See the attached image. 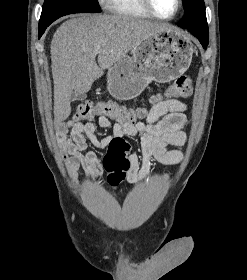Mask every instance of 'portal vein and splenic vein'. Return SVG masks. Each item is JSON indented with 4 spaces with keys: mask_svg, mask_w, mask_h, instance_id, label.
<instances>
[{
    "mask_svg": "<svg viewBox=\"0 0 247 280\" xmlns=\"http://www.w3.org/2000/svg\"><path fill=\"white\" fill-rule=\"evenodd\" d=\"M101 47L100 46H96L95 47V51H100Z\"/></svg>",
    "mask_w": 247,
    "mask_h": 280,
    "instance_id": "1",
    "label": "portal vein and splenic vein"
}]
</instances>
